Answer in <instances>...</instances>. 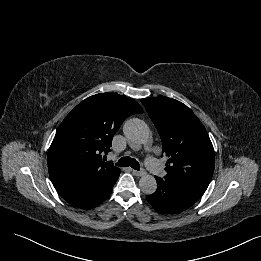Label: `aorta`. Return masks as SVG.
Returning a JSON list of instances; mask_svg holds the SVG:
<instances>
[{
  "label": "aorta",
  "instance_id": "1",
  "mask_svg": "<svg viewBox=\"0 0 261 261\" xmlns=\"http://www.w3.org/2000/svg\"><path fill=\"white\" fill-rule=\"evenodd\" d=\"M123 132L130 142L137 145L146 143L150 136L146 123L137 118L128 120L124 124ZM139 187L144 194L151 195L157 189V182L152 175L145 174L139 180Z\"/></svg>",
  "mask_w": 261,
  "mask_h": 261
}]
</instances>
